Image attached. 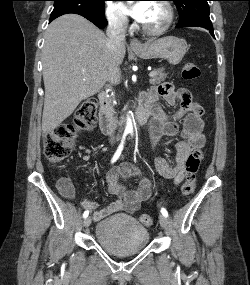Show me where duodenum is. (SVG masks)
I'll list each match as a JSON object with an SVG mask.
<instances>
[{
  "instance_id": "duodenum-1",
  "label": "duodenum",
  "mask_w": 250,
  "mask_h": 285,
  "mask_svg": "<svg viewBox=\"0 0 250 285\" xmlns=\"http://www.w3.org/2000/svg\"><path fill=\"white\" fill-rule=\"evenodd\" d=\"M99 110V126L104 134H110L114 131L116 123L110 110L109 95L106 92H100L98 95ZM135 120L139 124L147 122L151 116V108L148 103L142 101L138 110L135 112Z\"/></svg>"
}]
</instances>
